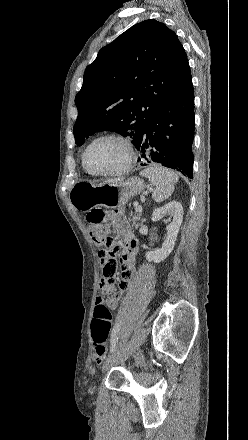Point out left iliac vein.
<instances>
[{
    "mask_svg": "<svg viewBox=\"0 0 248 440\" xmlns=\"http://www.w3.org/2000/svg\"><path fill=\"white\" fill-rule=\"evenodd\" d=\"M146 337V330L144 328L139 329L136 333L133 344L122 347L108 358L107 362L102 368L103 373L107 372L112 366L127 360L145 342Z\"/></svg>",
    "mask_w": 248,
    "mask_h": 440,
    "instance_id": "left-iliac-vein-1",
    "label": "left iliac vein"
}]
</instances>
